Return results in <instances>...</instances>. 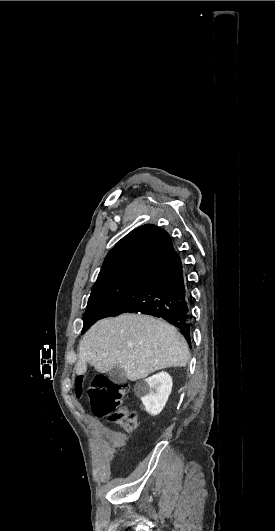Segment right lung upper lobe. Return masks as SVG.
I'll use <instances>...</instances> for the list:
<instances>
[{
    "label": "right lung upper lobe",
    "instance_id": "1",
    "mask_svg": "<svg viewBox=\"0 0 275 531\" xmlns=\"http://www.w3.org/2000/svg\"><path fill=\"white\" fill-rule=\"evenodd\" d=\"M170 244L171 238L165 230L152 224L140 226L108 252L98 279L127 268L146 267Z\"/></svg>",
    "mask_w": 275,
    "mask_h": 531
}]
</instances>
